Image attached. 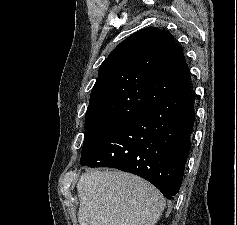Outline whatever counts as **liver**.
<instances>
[{
	"mask_svg": "<svg viewBox=\"0 0 237 225\" xmlns=\"http://www.w3.org/2000/svg\"><path fill=\"white\" fill-rule=\"evenodd\" d=\"M79 225H154L165 199L148 181L117 170H92L77 183Z\"/></svg>",
	"mask_w": 237,
	"mask_h": 225,
	"instance_id": "obj_1",
	"label": "liver"
}]
</instances>
